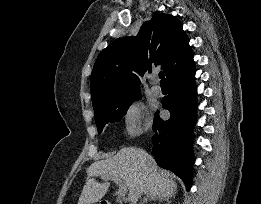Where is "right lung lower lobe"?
Wrapping results in <instances>:
<instances>
[{"instance_id":"obj_1","label":"right lung lower lobe","mask_w":261,"mask_h":204,"mask_svg":"<svg viewBox=\"0 0 261 204\" xmlns=\"http://www.w3.org/2000/svg\"><path fill=\"white\" fill-rule=\"evenodd\" d=\"M170 94L163 98V108L171 117L163 121L157 111L154 116L153 154L157 164L173 171L189 191L192 184L193 128L196 123L197 88L192 60L167 79Z\"/></svg>"}]
</instances>
